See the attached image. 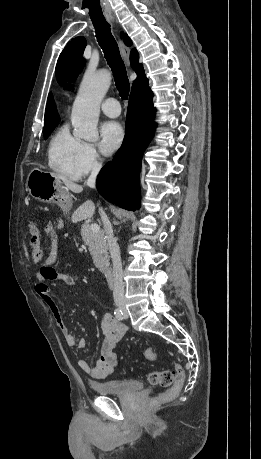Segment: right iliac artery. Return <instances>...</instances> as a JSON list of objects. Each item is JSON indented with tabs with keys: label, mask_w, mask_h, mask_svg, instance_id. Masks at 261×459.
<instances>
[{
	"label": "right iliac artery",
	"mask_w": 261,
	"mask_h": 459,
	"mask_svg": "<svg viewBox=\"0 0 261 459\" xmlns=\"http://www.w3.org/2000/svg\"><path fill=\"white\" fill-rule=\"evenodd\" d=\"M114 314H115V317L118 320H123L124 319L123 312H122L121 309L116 308L115 311H114Z\"/></svg>",
	"instance_id": "1"
}]
</instances>
